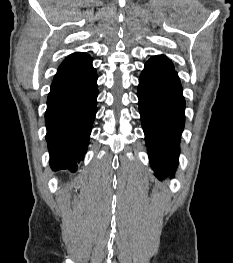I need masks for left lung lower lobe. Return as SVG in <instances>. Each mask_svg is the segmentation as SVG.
<instances>
[{"label": "left lung lower lobe", "instance_id": "1", "mask_svg": "<svg viewBox=\"0 0 233 263\" xmlns=\"http://www.w3.org/2000/svg\"><path fill=\"white\" fill-rule=\"evenodd\" d=\"M139 112L155 176L174 175L178 166L185 100L173 63L164 55L145 64L138 86Z\"/></svg>", "mask_w": 233, "mask_h": 263}]
</instances>
